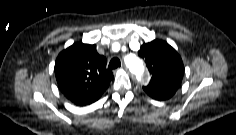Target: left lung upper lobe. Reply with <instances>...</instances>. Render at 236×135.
<instances>
[{"mask_svg": "<svg viewBox=\"0 0 236 135\" xmlns=\"http://www.w3.org/2000/svg\"><path fill=\"white\" fill-rule=\"evenodd\" d=\"M138 55L145 59L152 78L149 84L143 87L151 97L171 94L180 87L184 66L180 55L167 42L154 40L144 43Z\"/></svg>", "mask_w": 236, "mask_h": 135, "instance_id": "1", "label": "left lung upper lobe"}]
</instances>
